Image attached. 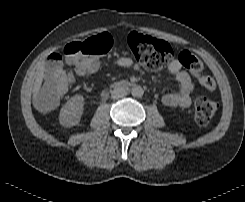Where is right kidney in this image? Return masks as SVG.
I'll list each match as a JSON object with an SVG mask.
<instances>
[{
	"instance_id": "1",
	"label": "right kidney",
	"mask_w": 245,
	"mask_h": 202,
	"mask_svg": "<svg viewBox=\"0 0 245 202\" xmlns=\"http://www.w3.org/2000/svg\"><path fill=\"white\" fill-rule=\"evenodd\" d=\"M84 110V97L75 95L62 107L59 121L62 126L72 127L80 122Z\"/></svg>"
}]
</instances>
